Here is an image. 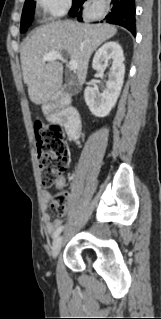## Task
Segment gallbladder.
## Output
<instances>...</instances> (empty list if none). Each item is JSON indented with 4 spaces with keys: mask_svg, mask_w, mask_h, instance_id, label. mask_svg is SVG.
I'll return each instance as SVG.
<instances>
[{
    "mask_svg": "<svg viewBox=\"0 0 161 319\" xmlns=\"http://www.w3.org/2000/svg\"><path fill=\"white\" fill-rule=\"evenodd\" d=\"M64 92L68 93V92H71L73 90V87H69V86H66L64 87Z\"/></svg>",
    "mask_w": 161,
    "mask_h": 319,
    "instance_id": "1",
    "label": "gallbladder"
}]
</instances>
